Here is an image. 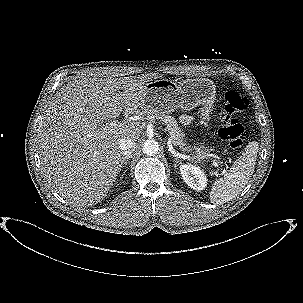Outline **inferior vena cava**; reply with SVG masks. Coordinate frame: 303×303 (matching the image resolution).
<instances>
[{"label": "inferior vena cava", "instance_id": "602c4592", "mask_svg": "<svg viewBox=\"0 0 303 303\" xmlns=\"http://www.w3.org/2000/svg\"><path fill=\"white\" fill-rule=\"evenodd\" d=\"M119 146L123 155H131L135 148V141L125 137L120 140Z\"/></svg>", "mask_w": 303, "mask_h": 303}]
</instances>
